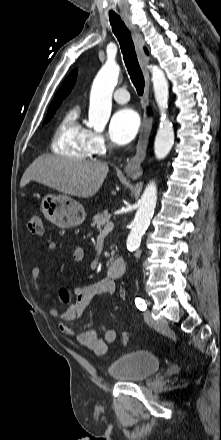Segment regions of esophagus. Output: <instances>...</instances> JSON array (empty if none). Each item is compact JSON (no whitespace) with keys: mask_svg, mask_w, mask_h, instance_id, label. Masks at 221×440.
<instances>
[{"mask_svg":"<svg viewBox=\"0 0 221 440\" xmlns=\"http://www.w3.org/2000/svg\"><path fill=\"white\" fill-rule=\"evenodd\" d=\"M125 22L131 32L132 39L137 52V56L143 71V75L145 79L143 98L145 105L147 106L149 103L150 75L148 71L149 58L144 51L145 42L142 38V35L140 34L136 26L132 23L129 17H125ZM151 129H152V118L145 113L140 130L138 143L136 146L135 155L128 161L125 167L126 173L132 177H139L142 174L141 164L146 156V150H147Z\"/></svg>","mask_w":221,"mask_h":440,"instance_id":"1","label":"esophagus"}]
</instances>
